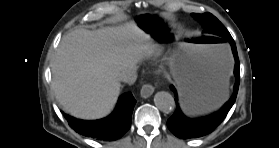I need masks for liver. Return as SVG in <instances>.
Listing matches in <instances>:
<instances>
[{
  "label": "liver",
  "instance_id": "6515ba94",
  "mask_svg": "<svg viewBox=\"0 0 279 148\" xmlns=\"http://www.w3.org/2000/svg\"><path fill=\"white\" fill-rule=\"evenodd\" d=\"M154 51L151 36L134 23L76 29L62 38L51 63L56 99L77 118L105 117L120 92L119 74Z\"/></svg>",
  "mask_w": 279,
  "mask_h": 148
}]
</instances>
